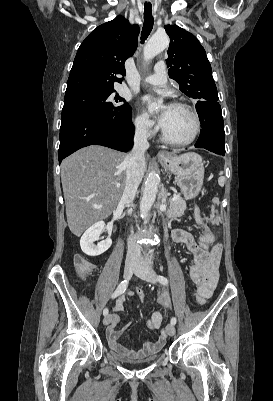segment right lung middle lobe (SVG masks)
Listing matches in <instances>:
<instances>
[{"label":"right lung middle lobe","instance_id":"right-lung-middle-lobe-1","mask_svg":"<svg viewBox=\"0 0 273 401\" xmlns=\"http://www.w3.org/2000/svg\"><path fill=\"white\" fill-rule=\"evenodd\" d=\"M113 93L114 90H95L65 95L61 119L90 115L129 123L131 107L124 98L118 95L114 97Z\"/></svg>","mask_w":273,"mask_h":401}]
</instances>
